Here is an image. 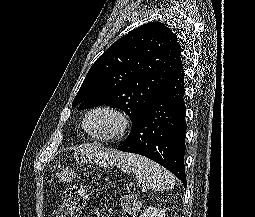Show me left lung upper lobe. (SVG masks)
<instances>
[{"label": "left lung upper lobe", "instance_id": "5c2ea615", "mask_svg": "<svg viewBox=\"0 0 255 217\" xmlns=\"http://www.w3.org/2000/svg\"><path fill=\"white\" fill-rule=\"evenodd\" d=\"M183 67L175 34L160 22L144 24L114 42L91 66L72 107L109 105L135 126L157 93Z\"/></svg>", "mask_w": 255, "mask_h": 217}]
</instances>
